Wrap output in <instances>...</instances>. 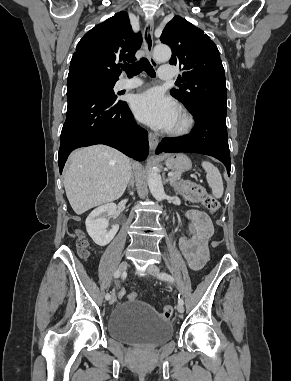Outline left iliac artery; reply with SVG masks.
Segmentation results:
<instances>
[{
	"instance_id": "left-iliac-artery-1",
	"label": "left iliac artery",
	"mask_w": 291,
	"mask_h": 381,
	"mask_svg": "<svg viewBox=\"0 0 291 381\" xmlns=\"http://www.w3.org/2000/svg\"><path fill=\"white\" fill-rule=\"evenodd\" d=\"M157 277L161 280H166V281H169V282H174V278L173 276H171L170 274L168 273H165V272H161L157 275ZM178 302L182 303L183 304V298L179 295L178 296Z\"/></svg>"
}]
</instances>
